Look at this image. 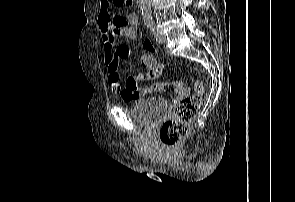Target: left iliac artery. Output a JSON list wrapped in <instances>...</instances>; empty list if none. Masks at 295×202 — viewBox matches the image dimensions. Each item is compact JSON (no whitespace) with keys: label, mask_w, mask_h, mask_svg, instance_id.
<instances>
[{"label":"left iliac artery","mask_w":295,"mask_h":202,"mask_svg":"<svg viewBox=\"0 0 295 202\" xmlns=\"http://www.w3.org/2000/svg\"><path fill=\"white\" fill-rule=\"evenodd\" d=\"M147 27H148L151 31H153V24H152V22H148V23H147Z\"/></svg>","instance_id":"obj_1"}]
</instances>
